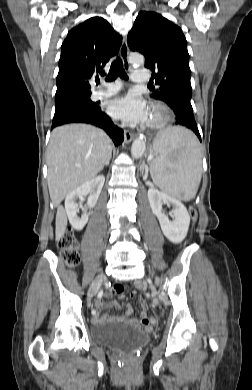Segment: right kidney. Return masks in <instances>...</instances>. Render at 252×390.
<instances>
[{"label": "right kidney", "mask_w": 252, "mask_h": 390, "mask_svg": "<svg viewBox=\"0 0 252 390\" xmlns=\"http://www.w3.org/2000/svg\"><path fill=\"white\" fill-rule=\"evenodd\" d=\"M104 182L105 177L103 175H99L92 180L85 182L66 196L65 210L69 222L75 230L81 231L88 222V209H92L95 207ZM88 194L90 195L87 200V207L82 208L84 212L82 216L79 217L77 215V213L79 212V205L76 200Z\"/></svg>", "instance_id": "right-kidney-1"}]
</instances>
